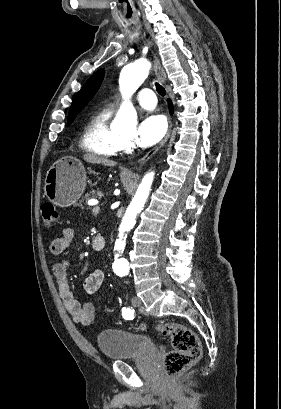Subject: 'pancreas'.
<instances>
[{
  "label": "pancreas",
  "instance_id": "cf45deb5",
  "mask_svg": "<svg viewBox=\"0 0 281 409\" xmlns=\"http://www.w3.org/2000/svg\"><path fill=\"white\" fill-rule=\"evenodd\" d=\"M102 196H104L102 190H99V188H97V190H90V192H87V194H85L83 200H88V198H102Z\"/></svg>",
  "mask_w": 281,
  "mask_h": 409
}]
</instances>
